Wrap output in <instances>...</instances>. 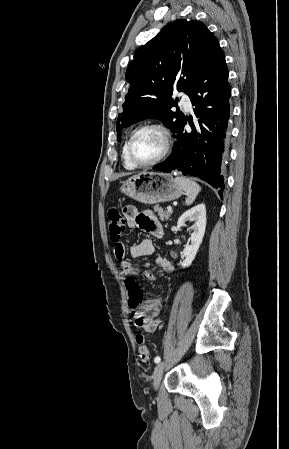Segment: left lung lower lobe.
Instances as JSON below:
<instances>
[{"label":"left lung lower lobe","mask_w":289,"mask_h":449,"mask_svg":"<svg viewBox=\"0 0 289 449\" xmlns=\"http://www.w3.org/2000/svg\"><path fill=\"white\" fill-rule=\"evenodd\" d=\"M230 94L225 56L218 47L204 63L189 91L198 120L193 123L189 119L192 131L187 132L184 126L188 118L184 117L174 131L177 138L171 155L153 169L167 173L178 170L199 177L219 189L222 198L225 185L221 166L228 144Z\"/></svg>","instance_id":"0a47b994"}]
</instances>
